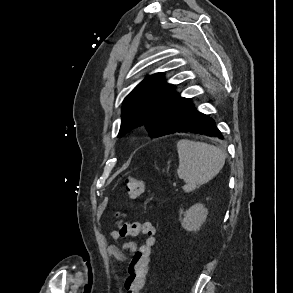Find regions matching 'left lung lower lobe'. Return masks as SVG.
<instances>
[{
  "label": "left lung lower lobe",
  "mask_w": 293,
  "mask_h": 293,
  "mask_svg": "<svg viewBox=\"0 0 293 293\" xmlns=\"http://www.w3.org/2000/svg\"><path fill=\"white\" fill-rule=\"evenodd\" d=\"M175 132L201 133L223 139L213 119L197 111L192 104L185 110L180 121L169 134Z\"/></svg>",
  "instance_id": "1"
}]
</instances>
